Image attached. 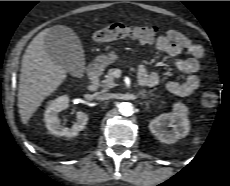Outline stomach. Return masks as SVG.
I'll use <instances>...</instances> for the list:
<instances>
[{
  "label": "stomach",
  "instance_id": "0dacf381",
  "mask_svg": "<svg viewBox=\"0 0 230 186\" xmlns=\"http://www.w3.org/2000/svg\"><path fill=\"white\" fill-rule=\"evenodd\" d=\"M116 59H117V55L114 52H110L107 56L98 57L97 61L101 65L106 66V65L114 63Z\"/></svg>",
  "mask_w": 230,
  "mask_h": 186
}]
</instances>
